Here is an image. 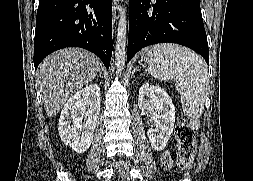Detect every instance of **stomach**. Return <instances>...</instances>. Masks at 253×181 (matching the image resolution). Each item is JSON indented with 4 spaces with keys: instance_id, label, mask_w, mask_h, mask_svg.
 <instances>
[{
    "instance_id": "stomach-1",
    "label": "stomach",
    "mask_w": 253,
    "mask_h": 181,
    "mask_svg": "<svg viewBox=\"0 0 253 181\" xmlns=\"http://www.w3.org/2000/svg\"><path fill=\"white\" fill-rule=\"evenodd\" d=\"M150 48L145 49L142 53H141V59L145 62H149V58H148V51Z\"/></svg>"
}]
</instances>
